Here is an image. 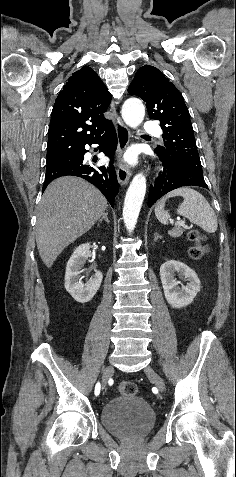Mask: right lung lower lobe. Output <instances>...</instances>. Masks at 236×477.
I'll use <instances>...</instances> for the list:
<instances>
[{"instance_id": "right-lung-lower-lobe-1", "label": "right lung lower lobe", "mask_w": 236, "mask_h": 477, "mask_svg": "<svg viewBox=\"0 0 236 477\" xmlns=\"http://www.w3.org/2000/svg\"><path fill=\"white\" fill-rule=\"evenodd\" d=\"M86 144H99L100 152H104L111 159L109 166L96 167L92 163L85 162ZM116 147V131L113 124H110L105 131L81 146L69 159L56 165L47 166L43 191L52 180L58 177L78 176L95 185L114 207V199L119 191L116 171L113 166Z\"/></svg>"}]
</instances>
